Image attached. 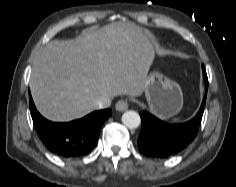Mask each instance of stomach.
<instances>
[{
	"mask_svg": "<svg viewBox=\"0 0 236 187\" xmlns=\"http://www.w3.org/2000/svg\"><path fill=\"white\" fill-rule=\"evenodd\" d=\"M144 92L150 110L162 119L176 115L183 106V93L179 84L158 72L148 76Z\"/></svg>",
	"mask_w": 236,
	"mask_h": 187,
	"instance_id": "1",
	"label": "stomach"
}]
</instances>
